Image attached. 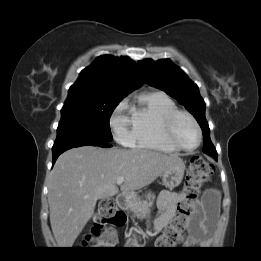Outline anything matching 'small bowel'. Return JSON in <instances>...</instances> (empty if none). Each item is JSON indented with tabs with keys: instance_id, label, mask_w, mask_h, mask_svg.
Masks as SVG:
<instances>
[{
	"instance_id": "1",
	"label": "small bowel",
	"mask_w": 261,
	"mask_h": 261,
	"mask_svg": "<svg viewBox=\"0 0 261 261\" xmlns=\"http://www.w3.org/2000/svg\"><path fill=\"white\" fill-rule=\"evenodd\" d=\"M184 199L185 196L180 191H162L160 193L157 202L158 213L153 222L155 231H160L167 226L177 205ZM218 214V194L215 190L208 189L191 217L192 234L183 238V245L187 248L198 246L204 240L208 230L215 226Z\"/></svg>"
}]
</instances>
